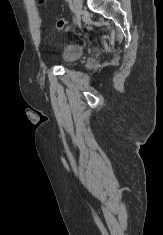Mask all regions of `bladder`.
<instances>
[{"label":"bladder","mask_w":163,"mask_h":235,"mask_svg":"<svg viewBox=\"0 0 163 235\" xmlns=\"http://www.w3.org/2000/svg\"><path fill=\"white\" fill-rule=\"evenodd\" d=\"M83 54V49L77 44H68L62 49V59L65 65L76 62Z\"/></svg>","instance_id":"31cf9c89"}]
</instances>
